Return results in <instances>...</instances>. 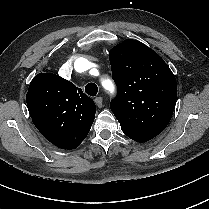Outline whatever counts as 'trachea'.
<instances>
[{
  "instance_id": "obj_1",
  "label": "trachea",
  "mask_w": 209,
  "mask_h": 209,
  "mask_svg": "<svg viewBox=\"0 0 209 209\" xmlns=\"http://www.w3.org/2000/svg\"><path fill=\"white\" fill-rule=\"evenodd\" d=\"M85 92L89 95V96H96L97 92H98V87L96 84L94 83H88L85 87Z\"/></svg>"
}]
</instances>
